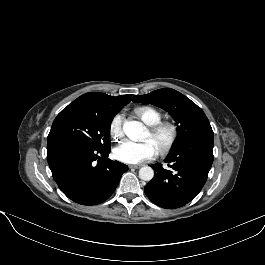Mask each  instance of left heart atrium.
Instances as JSON below:
<instances>
[{
	"instance_id": "left-heart-atrium-1",
	"label": "left heart atrium",
	"mask_w": 265,
	"mask_h": 265,
	"mask_svg": "<svg viewBox=\"0 0 265 265\" xmlns=\"http://www.w3.org/2000/svg\"><path fill=\"white\" fill-rule=\"evenodd\" d=\"M114 155L121 162L137 164L154 159L157 155V148L150 140L144 142L124 140L115 148Z\"/></svg>"
}]
</instances>
